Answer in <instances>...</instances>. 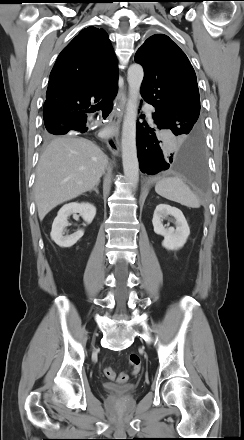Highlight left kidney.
Segmentation results:
<instances>
[{
  "mask_svg": "<svg viewBox=\"0 0 244 440\" xmlns=\"http://www.w3.org/2000/svg\"><path fill=\"white\" fill-rule=\"evenodd\" d=\"M168 215L174 217L175 229L173 227L165 228L163 226V219L168 217ZM152 223L154 232L164 237L162 246L167 250H178L182 248L190 235V229L182 211L167 204L157 205Z\"/></svg>",
  "mask_w": 244,
  "mask_h": 440,
  "instance_id": "left-kidney-1",
  "label": "left kidney"
}]
</instances>
